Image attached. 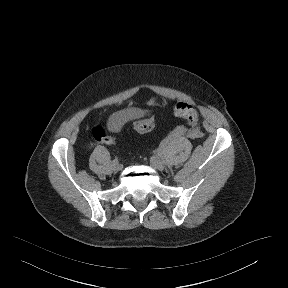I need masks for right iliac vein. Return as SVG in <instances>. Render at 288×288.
I'll list each match as a JSON object with an SVG mask.
<instances>
[{
    "instance_id": "63e3f726",
    "label": "right iliac vein",
    "mask_w": 288,
    "mask_h": 288,
    "mask_svg": "<svg viewBox=\"0 0 288 288\" xmlns=\"http://www.w3.org/2000/svg\"><path fill=\"white\" fill-rule=\"evenodd\" d=\"M113 169L115 171H120L122 169V165L117 161L112 163Z\"/></svg>"
}]
</instances>
